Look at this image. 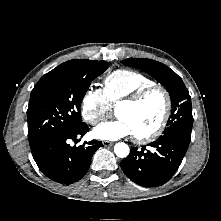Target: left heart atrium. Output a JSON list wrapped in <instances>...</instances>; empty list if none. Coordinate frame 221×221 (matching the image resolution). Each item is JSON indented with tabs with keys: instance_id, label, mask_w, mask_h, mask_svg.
<instances>
[{
	"instance_id": "39dd6f15",
	"label": "left heart atrium",
	"mask_w": 221,
	"mask_h": 221,
	"mask_svg": "<svg viewBox=\"0 0 221 221\" xmlns=\"http://www.w3.org/2000/svg\"><path fill=\"white\" fill-rule=\"evenodd\" d=\"M133 135L130 125L122 118L107 121L93 130V136L100 140L115 141Z\"/></svg>"
}]
</instances>
